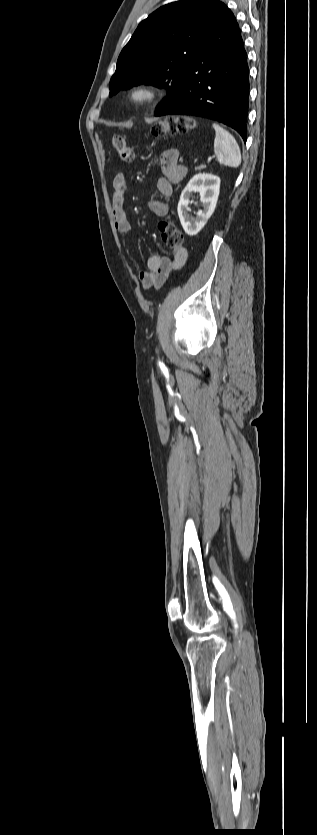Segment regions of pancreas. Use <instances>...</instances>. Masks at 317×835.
Wrapping results in <instances>:
<instances>
[{
  "mask_svg": "<svg viewBox=\"0 0 317 835\" xmlns=\"http://www.w3.org/2000/svg\"><path fill=\"white\" fill-rule=\"evenodd\" d=\"M205 167H206V165H200V166H198V167H197V169H199V170H200V169H203V168H205Z\"/></svg>",
  "mask_w": 317,
  "mask_h": 835,
  "instance_id": "1",
  "label": "pancreas"
}]
</instances>
